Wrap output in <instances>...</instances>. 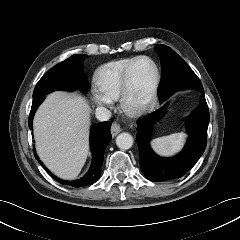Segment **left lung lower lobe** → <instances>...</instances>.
<instances>
[{"instance_id": "0a47b994", "label": "left lung lower lobe", "mask_w": 240, "mask_h": 240, "mask_svg": "<svg viewBox=\"0 0 240 240\" xmlns=\"http://www.w3.org/2000/svg\"><path fill=\"white\" fill-rule=\"evenodd\" d=\"M166 105L145 116L137 123L140 168L145 177L153 182L181 178L198 161L207 144L209 110L202 92L200 104L186 122L188 141L181 153L166 159L156 155L150 147V136L156 121L162 116Z\"/></svg>"}]
</instances>
